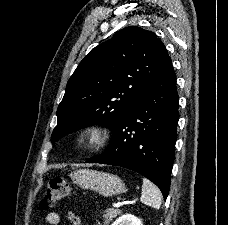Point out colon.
<instances>
[{"label": "colon", "instance_id": "obj_1", "mask_svg": "<svg viewBox=\"0 0 228 225\" xmlns=\"http://www.w3.org/2000/svg\"><path fill=\"white\" fill-rule=\"evenodd\" d=\"M69 193L70 187L63 178H51L40 202V206L42 208H48L50 205L63 200Z\"/></svg>", "mask_w": 228, "mask_h": 225}]
</instances>
